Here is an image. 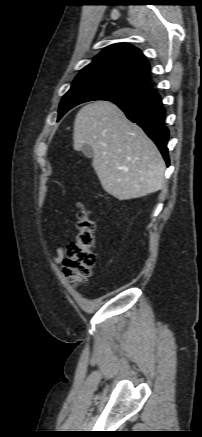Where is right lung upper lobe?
<instances>
[{
	"mask_svg": "<svg viewBox=\"0 0 202 437\" xmlns=\"http://www.w3.org/2000/svg\"><path fill=\"white\" fill-rule=\"evenodd\" d=\"M149 69V63L139 49L127 43H117L105 48L81 72L108 71L148 82Z\"/></svg>",
	"mask_w": 202,
	"mask_h": 437,
	"instance_id": "obj_1",
	"label": "right lung upper lobe"
}]
</instances>
